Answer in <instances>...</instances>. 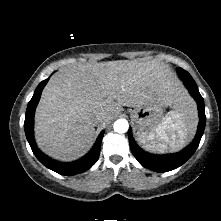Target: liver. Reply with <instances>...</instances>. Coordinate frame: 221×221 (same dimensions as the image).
<instances>
[{
  "label": "liver",
  "mask_w": 221,
  "mask_h": 221,
  "mask_svg": "<svg viewBox=\"0 0 221 221\" xmlns=\"http://www.w3.org/2000/svg\"><path fill=\"white\" fill-rule=\"evenodd\" d=\"M163 100L176 111L194 107L175 74L157 62L128 60L69 66L45 86L35 113L38 147L60 161L85 155L95 139V127L104 126L122 110ZM106 120L96 123V116Z\"/></svg>",
  "instance_id": "obj_1"
}]
</instances>
